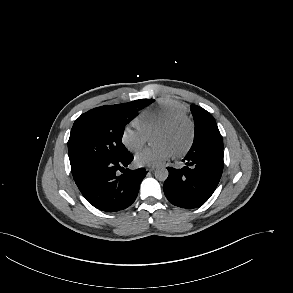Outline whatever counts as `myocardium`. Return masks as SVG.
Segmentation results:
<instances>
[{
  "label": "myocardium",
  "mask_w": 293,
  "mask_h": 293,
  "mask_svg": "<svg viewBox=\"0 0 293 293\" xmlns=\"http://www.w3.org/2000/svg\"><path fill=\"white\" fill-rule=\"evenodd\" d=\"M180 124H187L189 127V139L187 144L181 150L174 153V157H182L186 155L191 149L195 140V124L193 120L187 115L177 116L157 127V130H171Z\"/></svg>",
  "instance_id": "obj_1"
}]
</instances>
